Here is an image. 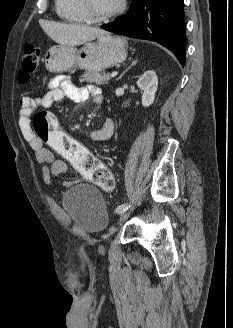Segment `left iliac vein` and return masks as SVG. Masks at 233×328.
I'll list each match as a JSON object with an SVG mask.
<instances>
[{"instance_id":"4c4485c4","label":"left iliac vein","mask_w":233,"mask_h":328,"mask_svg":"<svg viewBox=\"0 0 233 328\" xmlns=\"http://www.w3.org/2000/svg\"><path fill=\"white\" fill-rule=\"evenodd\" d=\"M130 214V212L129 211H124V212H122V215H121V217H120V220H123V219H125L128 215Z\"/></svg>"}]
</instances>
